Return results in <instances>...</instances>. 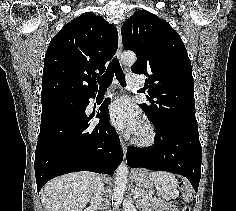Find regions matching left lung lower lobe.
Listing matches in <instances>:
<instances>
[{
    "instance_id": "0a47b994",
    "label": "left lung lower lobe",
    "mask_w": 236,
    "mask_h": 211,
    "mask_svg": "<svg viewBox=\"0 0 236 211\" xmlns=\"http://www.w3.org/2000/svg\"><path fill=\"white\" fill-rule=\"evenodd\" d=\"M154 125L157 133L155 145L145 149L129 147L128 165L131 168L143 167L183 175L197 192L202 159L198 127L172 123Z\"/></svg>"
}]
</instances>
